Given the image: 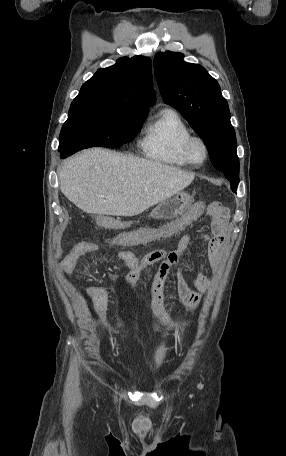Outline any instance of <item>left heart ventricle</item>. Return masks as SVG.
<instances>
[{
  "instance_id": "1",
  "label": "left heart ventricle",
  "mask_w": 286,
  "mask_h": 456,
  "mask_svg": "<svg viewBox=\"0 0 286 456\" xmlns=\"http://www.w3.org/2000/svg\"><path fill=\"white\" fill-rule=\"evenodd\" d=\"M190 154L195 162H201L204 158V150L200 143L195 142L191 146Z\"/></svg>"
}]
</instances>
